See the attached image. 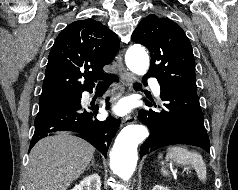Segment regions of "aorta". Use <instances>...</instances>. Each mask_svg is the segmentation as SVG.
Segmentation results:
<instances>
[{
  "label": "aorta",
  "instance_id": "1",
  "mask_svg": "<svg viewBox=\"0 0 238 190\" xmlns=\"http://www.w3.org/2000/svg\"><path fill=\"white\" fill-rule=\"evenodd\" d=\"M127 67L137 75H144L149 68V56L141 45L131 46L126 55ZM148 136L143 125H128L118 134L110 153V167L123 180L133 175L137 165V147Z\"/></svg>",
  "mask_w": 238,
  "mask_h": 190
}]
</instances>
